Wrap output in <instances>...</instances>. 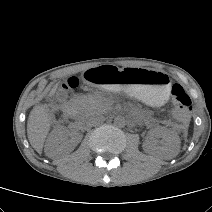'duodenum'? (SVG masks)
<instances>
[{"mask_svg":"<svg viewBox=\"0 0 212 212\" xmlns=\"http://www.w3.org/2000/svg\"><path fill=\"white\" fill-rule=\"evenodd\" d=\"M63 113L67 117H73L75 115V109L71 104H65L63 107Z\"/></svg>","mask_w":212,"mask_h":212,"instance_id":"duodenum-1","label":"duodenum"}]
</instances>
